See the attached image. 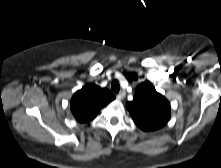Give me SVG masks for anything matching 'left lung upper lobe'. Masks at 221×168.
Wrapping results in <instances>:
<instances>
[{
  "instance_id": "left-lung-upper-lobe-1",
  "label": "left lung upper lobe",
  "mask_w": 221,
  "mask_h": 168,
  "mask_svg": "<svg viewBox=\"0 0 221 168\" xmlns=\"http://www.w3.org/2000/svg\"><path fill=\"white\" fill-rule=\"evenodd\" d=\"M135 124L143 131H154L170 119V103L145 81L136 88L134 99L126 103Z\"/></svg>"
}]
</instances>
